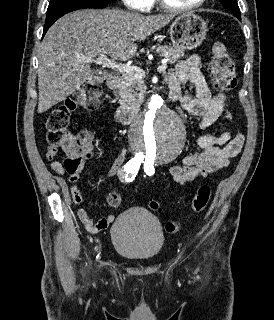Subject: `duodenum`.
I'll return each mask as SVG.
<instances>
[{
    "instance_id": "obj_1",
    "label": "duodenum",
    "mask_w": 274,
    "mask_h": 320,
    "mask_svg": "<svg viewBox=\"0 0 274 320\" xmlns=\"http://www.w3.org/2000/svg\"><path fill=\"white\" fill-rule=\"evenodd\" d=\"M108 86L111 90H117L121 83V78L118 74H112L107 78ZM171 102L178 101V94L171 93L169 97ZM137 115V110L120 108L116 111V120L119 123L129 124Z\"/></svg>"
}]
</instances>
